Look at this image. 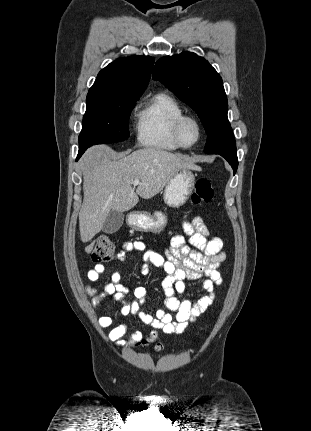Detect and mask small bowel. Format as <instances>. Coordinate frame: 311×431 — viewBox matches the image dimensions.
<instances>
[{"mask_svg":"<svg viewBox=\"0 0 311 431\" xmlns=\"http://www.w3.org/2000/svg\"><path fill=\"white\" fill-rule=\"evenodd\" d=\"M181 228L189 237L188 240L182 234L175 233L165 253L145 251L141 267V271L145 275L150 273L151 267H157L164 272L165 277L162 281L165 294L164 303L170 312H174V315L163 309L155 312L143 310L146 289L144 287L134 288L133 297L129 298L128 288L120 282L119 269L112 272L111 282L102 288L86 286L92 307L97 308L106 297H112L121 305L123 315L136 316L144 324L153 328L147 336L150 341L157 338L158 330H162L166 334H182L189 323L195 321L213 303L216 288L222 284V276L218 268L225 260L226 253L223 250L222 239L209 236V231L201 217L197 216L191 221H183ZM145 248L143 242L127 241L123 244L122 251L116 255V259L123 261L127 253L144 251ZM103 272L104 266L97 264L87 272V278L91 282H97ZM186 279L202 280L206 294L195 300L178 297L177 295H181L185 291ZM98 324L103 328H108L113 325V319L109 316H101ZM126 332L127 325L120 324L110 330L108 337L120 346L131 345L142 339V334L136 331L131 339L124 340Z\"/></svg>","mask_w":311,"mask_h":431,"instance_id":"c3829d8e","label":"small bowel"}]
</instances>
